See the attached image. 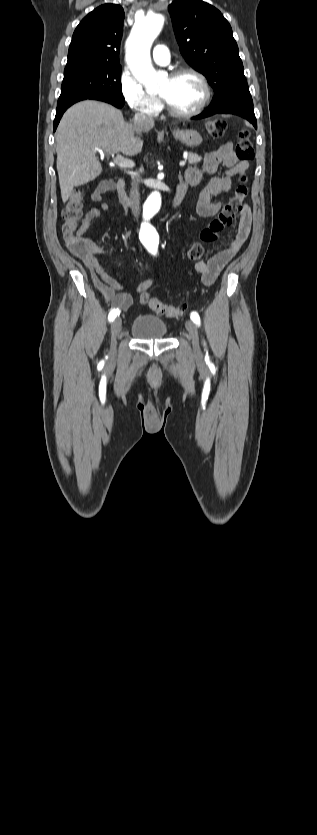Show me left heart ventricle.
<instances>
[{"instance_id":"1","label":"left heart ventricle","mask_w":317,"mask_h":835,"mask_svg":"<svg viewBox=\"0 0 317 835\" xmlns=\"http://www.w3.org/2000/svg\"><path fill=\"white\" fill-rule=\"evenodd\" d=\"M159 94L177 111L187 112L194 109L202 97L199 81L192 75L177 78L168 77L162 83Z\"/></svg>"}]
</instances>
